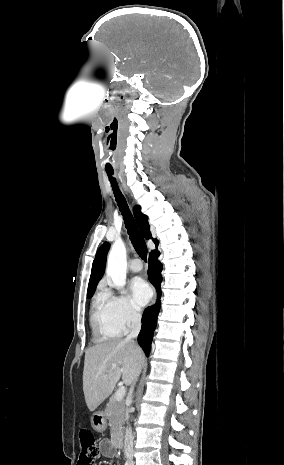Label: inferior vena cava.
I'll use <instances>...</instances> for the list:
<instances>
[{
  "instance_id": "inferior-vena-cava-1",
  "label": "inferior vena cava",
  "mask_w": 284,
  "mask_h": 465,
  "mask_svg": "<svg viewBox=\"0 0 284 465\" xmlns=\"http://www.w3.org/2000/svg\"><path fill=\"white\" fill-rule=\"evenodd\" d=\"M140 331H141V315L140 313H133V315H131V333L130 335H127L126 341H131V339H136ZM136 377H139V373L135 375V379ZM133 391H134V385H132L128 393L129 401H131L132 399ZM126 421H129V409H126ZM124 455L129 465H133V437H132L131 427H127L125 431Z\"/></svg>"
}]
</instances>
